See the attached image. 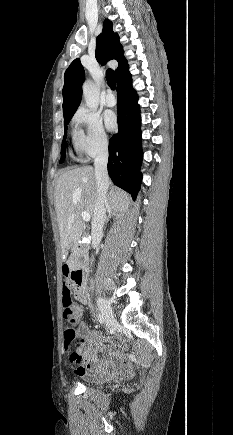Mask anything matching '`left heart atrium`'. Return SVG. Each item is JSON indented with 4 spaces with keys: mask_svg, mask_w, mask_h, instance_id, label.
Masks as SVG:
<instances>
[{
    "mask_svg": "<svg viewBox=\"0 0 233 435\" xmlns=\"http://www.w3.org/2000/svg\"><path fill=\"white\" fill-rule=\"evenodd\" d=\"M104 121L108 129L112 130L116 127V116L112 112H106L104 114Z\"/></svg>",
    "mask_w": 233,
    "mask_h": 435,
    "instance_id": "left-heart-atrium-1",
    "label": "left heart atrium"
}]
</instances>
